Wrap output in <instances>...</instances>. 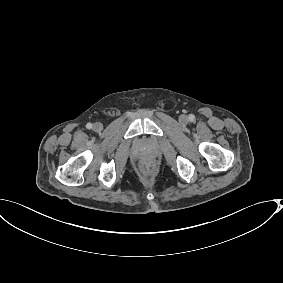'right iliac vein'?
<instances>
[{"label":"right iliac vein","instance_id":"63e3f726","mask_svg":"<svg viewBox=\"0 0 283 283\" xmlns=\"http://www.w3.org/2000/svg\"><path fill=\"white\" fill-rule=\"evenodd\" d=\"M102 128H103V125H102V123H100V122H96V123H94V125H93V130H94L95 132L101 131Z\"/></svg>","mask_w":283,"mask_h":283}]
</instances>
